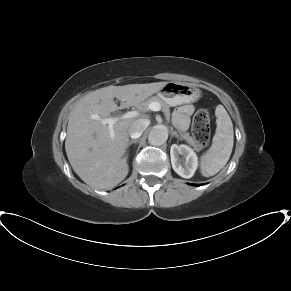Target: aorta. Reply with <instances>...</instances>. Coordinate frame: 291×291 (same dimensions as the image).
Masks as SVG:
<instances>
[{
	"mask_svg": "<svg viewBox=\"0 0 291 291\" xmlns=\"http://www.w3.org/2000/svg\"><path fill=\"white\" fill-rule=\"evenodd\" d=\"M168 139V130L164 125H157L149 132L148 141L154 146L163 145Z\"/></svg>",
	"mask_w": 291,
	"mask_h": 291,
	"instance_id": "762f6f07",
	"label": "aorta"
}]
</instances>
